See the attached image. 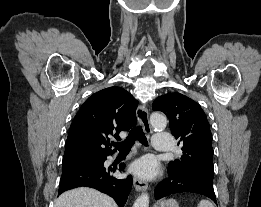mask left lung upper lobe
<instances>
[{"label":"left lung upper lobe","mask_w":261,"mask_h":207,"mask_svg":"<svg viewBox=\"0 0 261 207\" xmlns=\"http://www.w3.org/2000/svg\"><path fill=\"white\" fill-rule=\"evenodd\" d=\"M154 111H162L183 155L171 161L168 171L186 172L213 181L212 134L207 117L198 103L180 93L159 96L152 104Z\"/></svg>","instance_id":"5c2ea615"}]
</instances>
